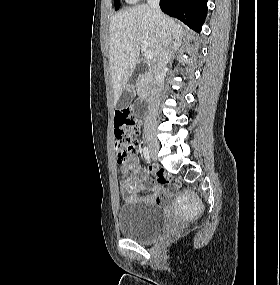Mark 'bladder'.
Listing matches in <instances>:
<instances>
[{
	"instance_id": "1",
	"label": "bladder",
	"mask_w": 280,
	"mask_h": 285,
	"mask_svg": "<svg viewBox=\"0 0 280 285\" xmlns=\"http://www.w3.org/2000/svg\"><path fill=\"white\" fill-rule=\"evenodd\" d=\"M117 219L123 236L141 242L158 235L168 222L157 207L142 200L122 204Z\"/></svg>"
}]
</instances>
